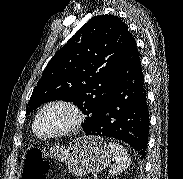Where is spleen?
<instances>
[{
    "mask_svg": "<svg viewBox=\"0 0 183 179\" xmlns=\"http://www.w3.org/2000/svg\"><path fill=\"white\" fill-rule=\"evenodd\" d=\"M108 146L113 157V165L109 169V174L118 175L130 166L131 160L121 145L110 142Z\"/></svg>",
    "mask_w": 183,
    "mask_h": 179,
    "instance_id": "spleen-1",
    "label": "spleen"
}]
</instances>
